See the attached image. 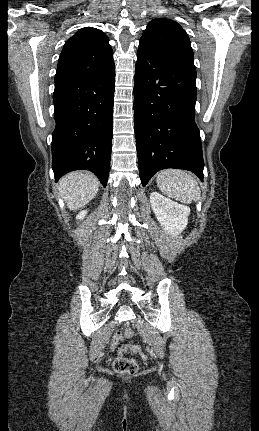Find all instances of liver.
<instances>
[{"instance_id": "6515ba94", "label": "liver", "mask_w": 259, "mask_h": 431, "mask_svg": "<svg viewBox=\"0 0 259 431\" xmlns=\"http://www.w3.org/2000/svg\"><path fill=\"white\" fill-rule=\"evenodd\" d=\"M99 181L88 171H74L59 181V190L70 210L88 204L97 194Z\"/></svg>"}]
</instances>
